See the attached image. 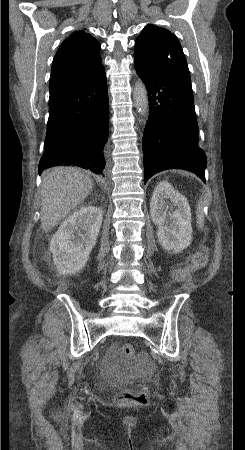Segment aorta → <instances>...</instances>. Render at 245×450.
Returning <instances> with one entry per match:
<instances>
[{
    "label": "aorta",
    "mask_w": 245,
    "mask_h": 450,
    "mask_svg": "<svg viewBox=\"0 0 245 450\" xmlns=\"http://www.w3.org/2000/svg\"><path fill=\"white\" fill-rule=\"evenodd\" d=\"M134 103L141 116H145L148 112V93L142 81H137L134 88Z\"/></svg>",
    "instance_id": "762f6f07"
}]
</instances>
